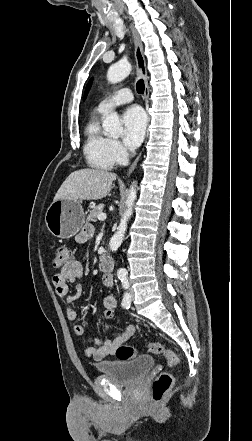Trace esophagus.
<instances>
[{"mask_svg": "<svg viewBox=\"0 0 252 441\" xmlns=\"http://www.w3.org/2000/svg\"><path fill=\"white\" fill-rule=\"evenodd\" d=\"M130 29L133 34L134 45H135V59H136V64H137V74L139 76H141L144 80V83H145L144 99H145V102L148 103L150 91H149V85H148V80H147L146 60H145V57L143 54V44L140 40L138 32L136 31V29L133 27L132 24H130ZM140 156H141V154L136 158V160L130 166L127 175H129L135 169V167L137 166V163L139 161Z\"/></svg>", "mask_w": 252, "mask_h": 441, "instance_id": "esophagus-1", "label": "esophagus"}]
</instances>
